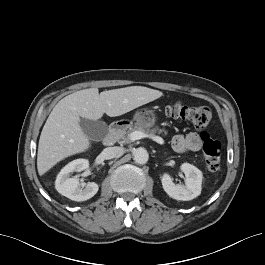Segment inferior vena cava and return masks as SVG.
<instances>
[{"mask_svg":"<svg viewBox=\"0 0 265 265\" xmlns=\"http://www.w3.org/2000/svg\"><path fill=\"white\" fill-rule=\"evenodd\" d=\"M122 151L123 149L120 147H108L105 148L101 154L104 159H112L117 157L119 154H121Z\"/></svg>","mask_w":265,"mask_h":265,"instance_id":"1","label":"inferior vena cava"}]
</instances>
